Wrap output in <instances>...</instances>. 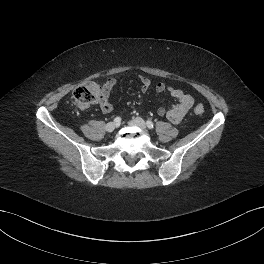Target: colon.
Instances as JSON below:
<instances>
[{"instance_id":"1","label":"colon","mask_w":264,"mask_h":264,"mask_svg":"<svg viewBox=\"0 0 264 264\" xmlns=\"http://www.w3.org/2000/svg\"><path fill=\"white\" fill-rule=\"evenodd\" d=\"M104 93V86L97 82L89 81L80 86H78L73 92V99L75 103L81 107L86 108L100 100ZM194 112L197 115L204 113V108L202 105H196Z\"/></svg>"}]
</instances>
